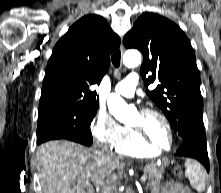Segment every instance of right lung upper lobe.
Wrapping results in <instances>:
<instances>
[{"mask_svg": "<svg viewBox=\"0 0 221 193\" xmlns=\"http://www.w3.org/2000/svg\"><path fill=\"white\" fill-rule=\"evenodd\" d=\"M120 38L99 15H86L74 23L55 45L43 80L39 109L66 105L98 106L91 86L100 83L110 54Z\"/></svg>", "mask_w": 221, "mask_h": 193, "instance_id": "right-lung-upper-lobe-1", "label": "right lung upper lobe"}]
</instances>
